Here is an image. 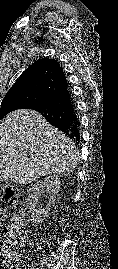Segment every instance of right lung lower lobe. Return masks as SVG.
Instances as JSON below:
<instances>
[{
  "mask_svg": "<svg viewBox=\"0 0 118 269\" xmlns=\"http://www.w3.org/2000/svg\"><path fill=\"white\" fill-rule=\"evenodd\" d=\"M26 109L38 111L50 124L61 130L74 142H79L80 122L69 86L39 102L32 103Z\"/></svg>",
  "mask_w": 118,
  "mask_h": 269,
  "instance_id": "obj_1",
  "label": "right lung lower lobe"
}]
</instances>
